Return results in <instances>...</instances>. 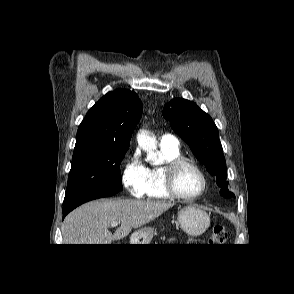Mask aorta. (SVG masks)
Segmentation results:
<instances>
[{
  "label": "aorta",
  "instance_id": "aorta-1",
  "mask_svg": "<svg viewBox=\"0 0 294 294\" xmlns=\"http://www.w3.org/2000/svg\"><path fill=\"white\" fill-rule=\"evenodd\" d=\"M137 141L140 148L147 153V160L154 162L157 159V142L146 130L142 129L137 134Z\"/></svg>",
  "mask_w": 294,
  "mask_h": 294
}]
</instances>
